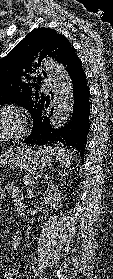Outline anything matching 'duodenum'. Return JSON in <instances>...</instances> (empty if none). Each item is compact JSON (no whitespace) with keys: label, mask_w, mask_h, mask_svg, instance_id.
<instances>
[{"label":"duodenum","mask_w":113,"mask_h":279,"mask_svg":"<svg viewBox=\"0 0 113 279\" xmlns=\"http://www.w3.org/2000/svg\"><path fill=\"white\" fill-rule=\"evenodd\" d=\"M16 209H17L18 213H22L24 211V206L21 203H19V204H17ZM13 242H14V244H18L19 239L14 238Z\"/></svg>","instance_id":"1"}]
</instances>
